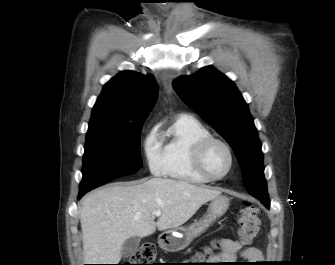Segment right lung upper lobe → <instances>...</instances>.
I'll return each mask as SVG.
<instances>
[{
    "label": "right lung upper lobe",
    "mask_w": 335,
    "mask_h": 265,
    "mask_svg": "<svg viewBox=\"0 0 335 265\" xmlns=\"http://www.w3.org/2000/svg\"><path fill=\"white\" fill-rule=\"evenodd\" d=\"M158 85L152 75L122 71L104 85L93 107L88 132L121 133L143 123L153 107Z\"/></svg>",
    "instance_id": "obj_1"
}]
</instances>
